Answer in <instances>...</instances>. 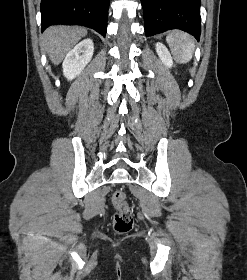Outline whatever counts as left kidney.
<instances>
[{"mask_svg":"<svg viewBox=\"0 0 247 280\" xmlns=\"http://www.w3.org/2000/svg\"><path fill=\"white\" fill-rule=\"evenodd\" d=\"M156 52L166 67L171 68L173 66V58L165 45L160 42L156 43Z\"/></svg>","mask_w":247,"mask_h":280,"instance_id":"5707ae66","label":"left kidney"}]
</instances>
